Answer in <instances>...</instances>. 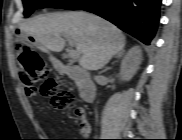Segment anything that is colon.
<instances>
[{
    "instance_id": "colon-1",
    "label": "colon",
    "mask_w": 182,
    "mask_h": 140,
    "mask_svg": "<svg viewBox=\"0 0 182 140\" xmlns=\"http://www.w3.org/2000/svg\"><path fill=\"white\" fill-rule=\"evenodd\" d=\"M15 51L27 95L33 96L40 91L43 95L50 97V103L54 109L65 110L74 107L73 91L58 89L56 81L49 77L47 63L35 50L26 42L18 41ZM39 82H42L40 88L37 86Z\"/></svg>"
}]
</instances>
